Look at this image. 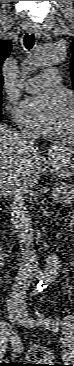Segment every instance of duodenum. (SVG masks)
I'll return each mask as SVG.
<instances>
[{
  "label": "duodenum",
  "mask_w": 74,
  "mask_h": 366,
  "mask_svg": "<svg viewBox=\"0 0 74 366\" xmlns=\"http://www.w3.org/2000/svg\"><path fill=\"white\" fill-rule=\"evenodd\" d=\"M40 279H44V276L42 274L39 275Z\"/></svg>",
  "instance_id": "1"
}]
</instances>
